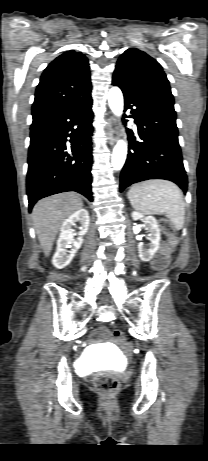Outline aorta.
Wrapping results in <instances>:
<instances>
[{
  "instance_id": "1",
  "label": "aorta",
  "mask_w": 208,
  "mask_h": 461,
  "mask_svg": "<svg viewBox=\"0 0 208 461\" xmlns=\"http://www.w3.org/2000/svg\"><path fill=\"white\" fill-rule=\"evenodd\" d=\"M108 103L111 111L116 117H121L123 113V94L118 87H112L108 93ZM127 156V143L125 139H120L114 146L111 164L114 170L122 169Z\"/></svg>"
}]
</instances>
